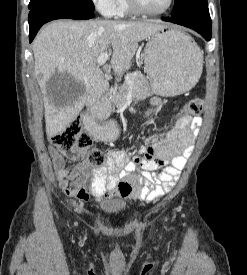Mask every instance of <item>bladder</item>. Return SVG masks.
I'll return each mask as SVG.
<instances>
[{"label": "bladder", "instance_id": "1", "mask_svg": "<svg viewBox=\"0 0 247 275\" xmlns=\"http://www.w3.org/2000/svg\"><path fill=\"white\" fill-rule=\"evenodd\" d=\"M101 212L106 214V215H116V214H119L121 212V209H120L119 206L110 204V205H107V206H103L101 208Z\"/></svg>", "mask_w": 247, "mask_h": 275}]
</instances>
